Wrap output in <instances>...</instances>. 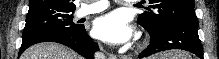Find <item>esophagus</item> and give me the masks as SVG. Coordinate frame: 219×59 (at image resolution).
<instances>
[{
	"label": "esophagus",
	"instance_id": "1",
	"mask_svg": "<svg viewBox=\"0 0 219 59\" xmlns=\"http://www.w3.org/2000/svg\"><path fill=\"white\" fill-rule=\"evenodd\" d=\"M108 57H109V59H116V56L113 54H109Z\"/></svg>",
	"mask_w": 219,
	"mask_h": 59
}]
</instances>
